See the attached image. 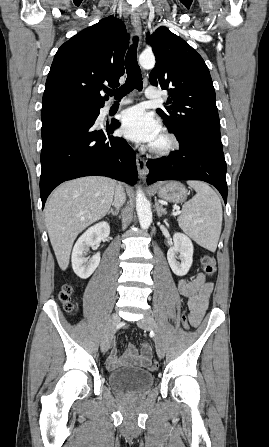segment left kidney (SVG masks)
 <instances>
[{
  "mask_svg": "<svg viewBox=\"0 0 269 447\" xmlns=\"http://www.w3.org/2000/svg\"><path fill=\"white\" fill-rule=\"evenodd\" d=\"M174 245L167 251L168 263L176 275H186L193 261V243L184 233H174ZM179 253V255H178ZM181 259V261H177Z\"/></svg>",
  "mask_w": 269,
  "mask_h": 447,
  "instance_id": "5707ae66",
  "label": "left kidney"
}]
</instances>
